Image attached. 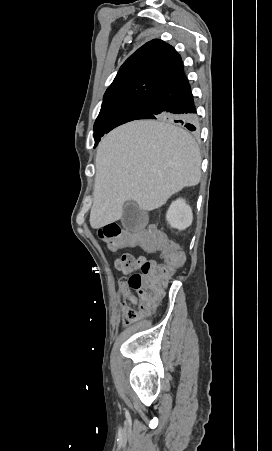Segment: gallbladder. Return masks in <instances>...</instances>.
<instances>
[{
	"label": "gallbladder",
	"instance_id": "gallbladder-1",
	"mask_svg": "<svg viewBox=\"0 0 272 451\" xmlns=\"http://www.w3.org/2000/svg\"><path fill=\"white\" fill-rule=\"evenodd\" d=\"M122 226L129 231L144 229L148 224V214L145 210H140L134 202H126L123 206Z\"/></svg>",
	"mask_w": 272,
	"mask_h": 451
}]
</instances>
